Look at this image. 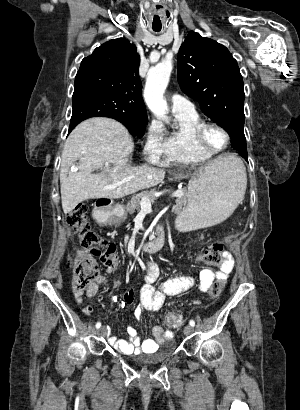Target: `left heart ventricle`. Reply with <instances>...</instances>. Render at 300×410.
I'll use <instances>...</instances> for the list:
<instances>
[{
  "instance_id": "left-heart-ventricle-1",
  "label": "left heart ventricle",
  "mask_w": 300,
  "mask_h": 410,
  "mask_svg": "<svg viewBox=\"0 0 300 410\" xmlns=\"http://www.w3.org/2000/svg\"><path fill=\"white\" fill-rule=\"evenodd\" d=\"M205 137L208 145L215 149L222 148L226 143L225 135L216 127L208 128Z\"/></svg>"
}]
</instances>
